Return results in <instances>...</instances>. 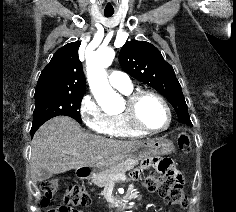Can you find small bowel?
<instances>
[{
	"label": "small bowel",
	"instance_id": "obj_1",
	"mask_svg": "<svg viewBox=\"0 0 236 212\" xmlns=\"http://www.w3.org/2000/svg\"><path fill=\"white\" fill-rule=\"evenodd\" d=\"M161 171L165 172V171H167V169L166 168H161ZM79 212H82V211H79Z\"/></svg>",
	"mask_w": 236,
	"mask_h": 212
}]
</instances>
